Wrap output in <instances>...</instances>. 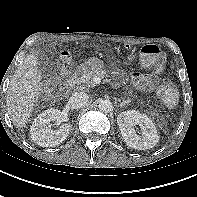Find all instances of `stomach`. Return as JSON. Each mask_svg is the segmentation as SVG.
<instances>
[{
  "mask_svg": "<svg viewBox=\"0 0 197 197\" xmlns=\"http://www.w3.org/2000/svg\"><path fill=\"white\" fill-rule=\"evenodd\" d=\"M88 69H102L103 63L97 58H90L86 61Z\"/></svg>",
  "mask_w": 197,
  "mask_h": 197,
  "instance_id": "obj_1",
  "label": "stomach"
}]
</instances>
